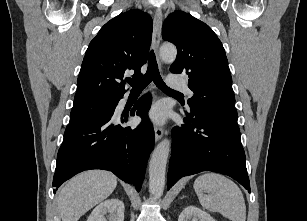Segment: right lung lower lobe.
<instances>
[{
    "mask_svg": "<svg viewBox=\"0 0 307 221\" xmlns=\"http://www.w3.org/2000/svg\"><path fill=\"white\" fill-rule=\"evenodd\" d=\"M113 111L105 116L65 130L58 151L53 190L56 193L63 182L75 174L89 169L112 171L125 182L141 189L147 159L153 149L154 130L147 116L150 95L141 97L131 111V116L142 117L137 127H125L128 114L118 118Z\"/></svg>",
    "mask_w": 307,
    "mask_h": 221,
    "instance_id": "98d812e1",
    "label": "right lung lower lobe"
}]
</instances>
